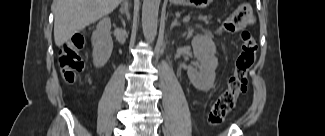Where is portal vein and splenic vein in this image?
Segmentation results:
<instances>
[{"label": "portal vein and splenic vein", "instance_id": "obj_1", "mask_svg": "<svg viewBox=\"0 0 325 136\" xmlns=\"http://www.w3.org/2000/svg\"><path fill=\"white\" fill-rule=\"evenodd\" d=\"M189 20H190V15L184 17V19H183V21H185V22H187V21H189Z\"/></svg>", "mask_w": 325, "mask_h": 136}]
</instances>
